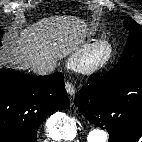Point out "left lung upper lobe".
<instances>
[{
    "mask_svg": "<svg viewBox=\"0 0 142 142\" xmlns=\"http://www.w3.org/2000/svg\"><path fill=\"white\" fill-rule=\"evenodd\" d=\"M124 26L129 30V38L118 64L112 71L142 68V26L128 18Z\"/></svg>",
    "mask_w": 142,
    "mask_h": 142,
    "instance_id": "left-lung-upper-lobe-1",
    "label": "left lung upper lobe"
}]
</instances>
